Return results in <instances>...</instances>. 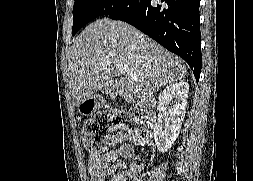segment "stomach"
I'll return each mask as SVG.
<instances>
[{
  "label": "stomach",
  "instance_id": "1",
  "mask_svg": "<svg viewBox=\"0 0 253 181\" xmlns=\"http://www.w3.org/2000/svg\"><path fill=\"white\" fill-rule=\"evenodd\" d=\"M103 99L99 95H93L78 106V112L82 115L89 116L96 112L101 106Z\"/></svg>",
  "mask_w": 253,
  "mask_h": 181
}]
</instances>
